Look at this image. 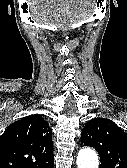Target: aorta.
<instances>
[{"label":"aorta","instance_id":"1","mask_svg":"<svg viewBox=\"0 0 127 168\" xmlns=\"http://www.w3.org/2000/svg\"><path fill=\"white\" fill-rule=\"evenodd\" d=\"M78 168H99L97 153L90 148H82L77 155Z\"/></svg>","mask_w":127,"mask_h":168}]
</instances>
